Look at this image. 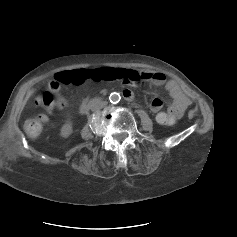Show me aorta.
I'll list each match as a JSON object with an SVG mask.
<instances>
[{
	"label": "aorta",
	"instance_id": "762f6f07",
	"mask_svg": "<svg viewBox=\"0 0 237 237\" xmlns=\"http://www.w3.org/2000/svg\"><path fill=\"white\" fill-rule=\"evenodd\" d=\"M120 99H121V96H120V94L117 93V92H113V93H111L110 96H109V100H110V102L113 103V104L118 103V102L120 101Z\"/></svg>",
	"mask_w": 237,
	"mask_h": 237
}]
</instances>
